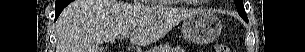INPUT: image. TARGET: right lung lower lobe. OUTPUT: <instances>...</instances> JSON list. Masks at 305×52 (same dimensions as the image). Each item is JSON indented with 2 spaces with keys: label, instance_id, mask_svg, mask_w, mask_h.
<instances>
[{
  "label": "right lung lower lobe",
  "instance_id": "1",
  "mask_svg": "<svg viewBox=\"0 0 305 52\" xmlns=\"http://www.w3.org/2000/svg\"><path fill=\"white\" fill-rule=\"evenodd\" d=\"M71 2V0H56L55 4V20L60 15L61 11Z\"/></svg>",
  "mask_w": 305,
  "mask_h": 52
}]
</instances>
